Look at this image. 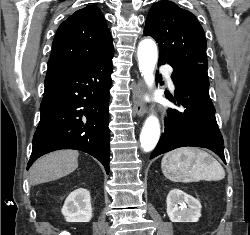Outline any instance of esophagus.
<instances>
[{
  "mask_svg": "<svg viewBox=\"0 0 250 235\" xmlns=\"http://www.w3.org/2000/svg\"><path fill=\"white\" fill-rule=\"evenodd\" d=\"M143 93H144V84L141 81V79H139L132 93L134 113L139 117H143L146 113V107L143 101Z\"/></svg>",
  "mask_w": 250,
  "mask_h": 235,
  "instance_id": "esophagus-1",
  "label": "esophagus"
}]
</instances>
